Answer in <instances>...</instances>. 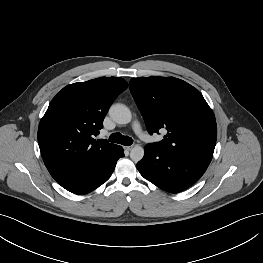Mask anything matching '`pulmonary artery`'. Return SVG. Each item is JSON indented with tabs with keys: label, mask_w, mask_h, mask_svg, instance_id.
I'll use <instances>...</instances> for the list:
<instances>
[{
	"label": "pulmonary artery",
	"mask_w": 263,
	"mask_h": 263,
	"mask_svg": "<svg viewBox=\"0 0 263 263\" xmlns=\"http://www.w3.org/2000/svg\"><path fill=\"white\" fill-rule=\"evenodd\" d=\"M132 128L140 139L147 137V133L142 129V126L140 125V123L138 121H135L132 124Z\"/></svg>",
	"instance_id": "e3ab8cb5"
}]
</instances>
